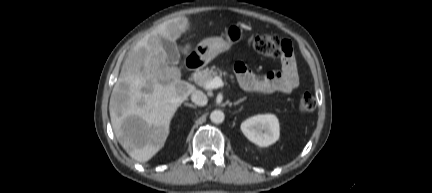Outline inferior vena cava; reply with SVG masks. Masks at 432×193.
Wrapping results in <instances>:
<instances>
[{
  "mask_svg": "<svg viewBox=\"0 0 432 193\" xmlns=\"http://www.w3.org/2000/svg\"><path fill=\"white\" fill-rule=\"evenodd\" d=\"M191 100L198 106H204L207 104V96L200 90H195L191 95Z\"/></svg>",
  "mask_w": 432,
  "mask_h": 193,
  "instance_id": "inferior-vena-cava-1",
  "label": "inferior vena cava"
}]
</instances>
